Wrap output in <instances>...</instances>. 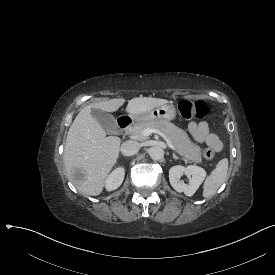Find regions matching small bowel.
<instances>
[{
    "label": "small bowel",
    "instance_id": "c3829d8e",
    "mask_svg": "<svg viewBox=\"0 0 275 275\" xmlns=\"http://www.w3.org/2000/svg\"><path fill=\"white\" fill-rule=\"evenodd\" d=\"M189 131L193 138L201 144H205L215 151H220L222 148V142L213 133L209 131V125L206 122L195 123L191 122L188 125Z\"/></svg>",
    "mask_w": 275,
    "mask_h": 275
}]
</instances>
